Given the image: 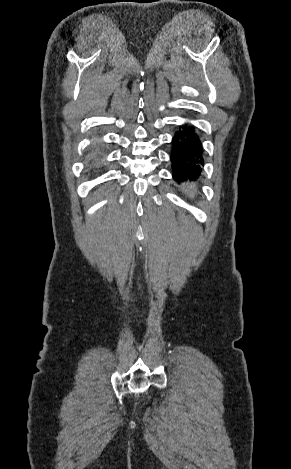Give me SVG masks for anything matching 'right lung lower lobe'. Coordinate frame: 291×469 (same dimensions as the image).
<instances>
[{
    "instance_id": "98d812e1",
    "label": "right lung lower lobe",
    "mask_w": 291,
    "mask_h": 469,
    "mask_svg": "<svg viewBox=\"0 0 291 469\" xmlns=\"http://www.w3.org/2000/svg\"><path fill=\"white\" fill-rule=\"evenodd\" d=\"M101 150H100V146L99 144H95L93 146V150L90 154V162L93 164V165H98L101 161Z\"/></svg>"
}]
</instances>
